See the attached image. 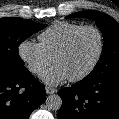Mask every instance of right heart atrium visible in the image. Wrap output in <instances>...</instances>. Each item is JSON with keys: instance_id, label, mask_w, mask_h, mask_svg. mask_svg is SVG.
Wrapping results in <instances>:
<instances>
[{"instance_id": "d8ad5b80", "label": "right heart atrium", "mask_w": 119, "mask_h": 119, "mask_svg": "<svg viewBox=\"0 0 119 119\" xmlns=\"http://www.w3.org/2000/svg\"><path fill=\"white\" fill-rule=\"evenodd\" d=\"M18 53L29 71L36 75L41 74L53 60L39 43L32 40L22 41L18 47Z\"/></svg>"}]
</instances>
